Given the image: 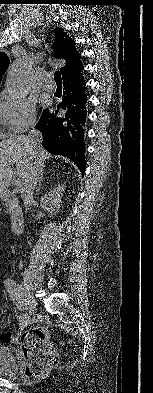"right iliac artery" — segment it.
<instances>
[{
	"mask_svg": "<svg viewBox=\"0 0 153 393\" xmlns=\"http://www.w3.org/2000/svg\"><path fill=\"white\" fill-rule=\"evenodd\" d=\"M5 287L7 289L9 297L15 302L17 308L19 310H24L22 309V307L25 304V298L23 297L21 292V285L16 284L13 279L8 278L7 280H5Z\"/></svg>",
	"mask_w": 153,
	"mask_h": 393,
	"instance_id": "right-iliac-artery-1",
	"label": "right iliac artery"
}]
</instances>
